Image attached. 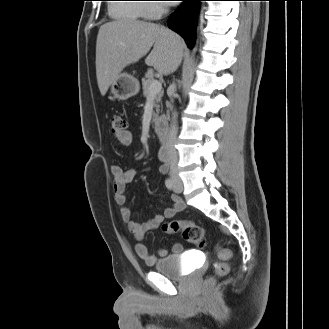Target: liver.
I'll return each instance as SVG.
<instances>
[{"instance_id": "liver-1", "label": "liver", "mask_w": 329, "mask_h": 329, "mask_svg": "<svg viewBox=\"0 0 329 329\" xmlns=\"http://www.w3.org/2000/svg\"><path fill=\"white\" fill-rule=\"evenodd\" d=\"M183 49L182 38L158 24L122 19L102 25L96 42V76L101 95L106 94L125 67L150 50L145 63L160 74L172 73L182 60Z\"/></svg>"}]
</instances>
